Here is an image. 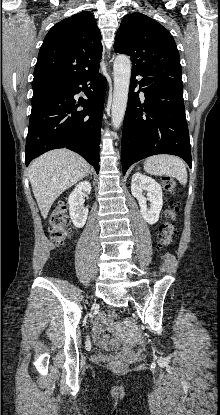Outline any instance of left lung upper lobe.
Listing matches in <instances>:
<instances>
[{
  "instance_id": "left-lung-upper-lobe-1",
  "label": "left lung upper lobe",
  "mask_w": 220,
  "mask_h": 415,
  "mask_svg": "<svg viewBox=\"0 0 220 415\" xmlns=\"http://www.w3.org/2000/svg\"><path fill=\"white\" fill-rule=\"evenodd\" d=\"M114 50L131 57L132 70L181 77L180 57L173 37L144 14L135 12L123 18Z\"/></svg>"
}]
</instances>
